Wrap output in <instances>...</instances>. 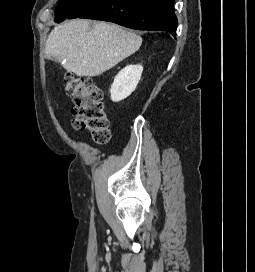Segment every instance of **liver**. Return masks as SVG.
Instances as JSON below:
<instances>
[{"label": "liver", "mask_w": 255, "mask_h": 272, "mask_svg": "<svg viewBox=\"0 0 255 272\" xmlns=\"http://www.w3.org/2000/svg\"><path fill=\"white\" fill-rule=\"evenodd\" d=\"M142 38L123 27L84 19L56 26L45 45V57L58 60L77 76H98L135 53Z\"/></svg>", "instance_id": "1"}]
</instances>
